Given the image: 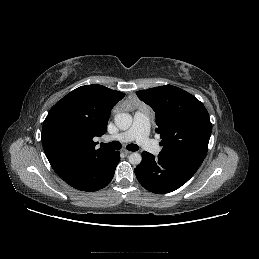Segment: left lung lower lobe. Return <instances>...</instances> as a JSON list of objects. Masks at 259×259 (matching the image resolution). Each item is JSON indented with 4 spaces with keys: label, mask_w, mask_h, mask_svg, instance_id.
I'll return each instance as SVG.
<instances>
[{
    "label": "left lung lower lobe",
    "mask_w": 259,
    "mask_h": 259,
    "mask_svg": "<svg viewBox=\"0 0 259 259\" xmlns=\"http://www.w3.org/2000/svg\"><path fill=\"white\" fill-rule=\"evenodd\" d=\"M200 166L159 154L142 153V162L135 174L140 184L150 192L163 194L172 192L185 184Z\"/></svg>",
    "instance_id": "1"
}]
</instances>
